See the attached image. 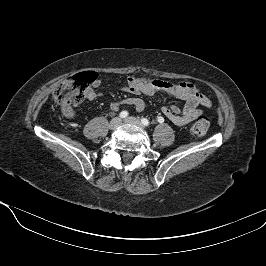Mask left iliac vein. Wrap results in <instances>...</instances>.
I'll list each match as a JSON object with an SVG mask.
<instances>
[{"mask_svg": "<svg viewBox=\"0 0 266 266\" xmlns=\"http://www.w3.org/2000/svg\"><path fill=\"white\" fill-rule=\"evenodd\" d=\"M126 123H130V124H134L137 125L141 128H144V126L142 125L141 121L138 118L135 117H128L124 120Z\"/></svg>", "mask_w": 266, "mask_h": 266, "instance_id": "1", "label": "left iliac vein"}]
</instances>
